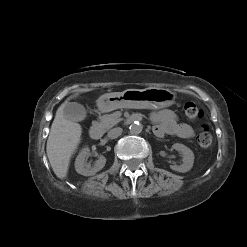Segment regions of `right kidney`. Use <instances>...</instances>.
<instances>
[{"instance_id": "1", "label": "right kidney", "mask_w": 247, "mask_h": 247, "mask_svg": "<svg viewBox=\"0 0 247 247\" xmlns=\"http://www.w3.org/2000/svg\"><path fill=\"white\" fill-rule=\"evenodd\" d=\"M90 155V149L88 147L83 148L75 161V169L77 173L84 176H92L95 175L98 171H100L106 163V158L103 155H100L98 160L95 161L94 165L86 163V159Z\"/></svg>"}]
</instances>
